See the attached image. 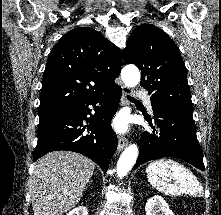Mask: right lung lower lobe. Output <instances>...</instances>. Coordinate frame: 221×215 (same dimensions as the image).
<instances>
[{"instance_id": "1", "label": "right lung lower lobe", "mask_w": 221, "mask_h": 215, "mask_svg": "<svg viewBox=\"0 0 221 215\" xmlns=\"http://www.w3.org/2000/svg\"><path fill=\"white\" fill-rule=\"evenodd\" d=\"M121 94V87L115 84L66 109L40 115L33 161L51 151H75L96 162L105 173L117 148V137L110 125ZM89 105L94 107V114ZM84 120L89 123L87 131Z\"/></svg>"}]
</instances>
